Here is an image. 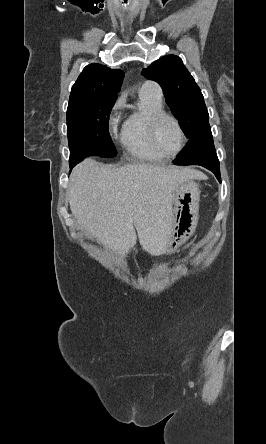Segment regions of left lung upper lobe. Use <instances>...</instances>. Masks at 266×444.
Here are the masks:
<instances>
[{"instance_id": "left-lung-upper-lobe-1", "label": "left lung upper lobe", "mask_w": 266, "mask_h": 444, "mask_svg": "<svg viewBox=\"0 0 266 444\" xmlns=\"http://www.w3.org/2000/svg\"><path fill=\"white\" fill-rule=\"evenodd\" d=\"M142 75L158 82L167 104L190 139L210 128L204 98L194 78L175 55L164 56L142 70Z\"/></svg>"}]
</instances>
